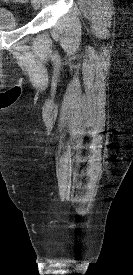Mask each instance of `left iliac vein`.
Instances as JSON below:
<instances>
[{
  "label": "left iliac vein",
  "mask_w": 133,
  "mask_h": 275,
  "mask_svg": "<svg viewBox=\"0 0 133 275\" xmlns=\"http://www.w3.org/2000/svg\"><path fill=\"white\" fill-rule=\"evenodd\" d=\"M31 3L35 8H38L40 5V0H31Z\"/></svg>",
  "instance_id": "obj_1"
}]
</instances>
